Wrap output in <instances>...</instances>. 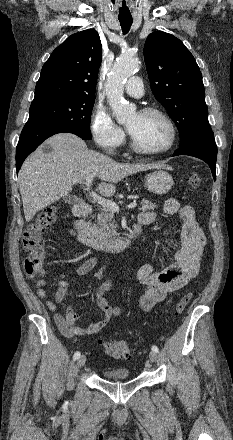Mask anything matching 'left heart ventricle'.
Here are the masks:
<instances>
[{"mask_svg": "<svg viewBox=\"0 0 233 440\" xmlns=\"http://www.w3.org/2000/svg\"><path fill=\"white\" fill-rule=\"evenodd\" d=\"M127 128L137 142L148 150L161 149L170 139V129L158 115L136 113L128 120Z\"/></svg>", "mask_w": 233, "mask_h": 440, "instance_id": "left-heart-ventricle-1", "label": "left heart ventricle"}]
</instances>
